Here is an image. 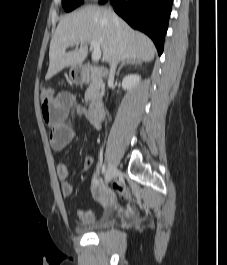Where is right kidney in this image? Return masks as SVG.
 <instances>
[{
	"instance_id": "obj_1",
	"label": "right kidney",
	"mask_w": 227,
	"mask_h": 265,
	"mask_svg": "<svg viewBox=\"0 0 227 265\" xmlns=\"http://www.w3.org/2000/svg\"><path fill=\"white\" fill-rule=\"evenodd\" d=\"M140 76L136 74H130L123 78L122 88L127 91H131L135 86L138 85Z\"/></svg>"
}]
</instances>
